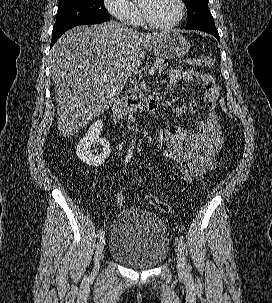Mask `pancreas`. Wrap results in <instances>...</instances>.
Listing matches in <instances>:
<instances>
[{
    "label": "pancreas",
    "instance_id": "pancreas-1",
    "mask_svg": "<svg viewBox=\"0 0 272 303\" xmlns=\"http://www.w3.org/2000/svg\"><path fill=\"white\" fill-rule=\"evenodd\" d=\"M168 66L167 63L164 62L163 59H156V61L154 62L152 68L157 70L159 73L162 72L166 67ZM139 89L138 87L135 85L133 92H138Z\"/></svg>",
    "mask_w": 272,
    "mask_h": 303
}]
</instances>
